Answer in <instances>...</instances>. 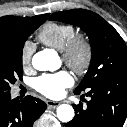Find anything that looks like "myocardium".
Masks as SVG:
<instances>
[{
	"mask_svg": "<svg viewBox=\"0 0 127 127\" xmlns=\"http://www.w3.org/2000/svg\"><path fill=\"white\" fill-rule=\"evenodd\" d=\"M93 55L92 41L85 33H75L62 50L64 64L79 75L88 71Z\"/></svg>",
	"mask_w": 127,
	"mask_h": 127,
	"instance_id": "1",
	"label": "myocardium"
}]
</instances>
